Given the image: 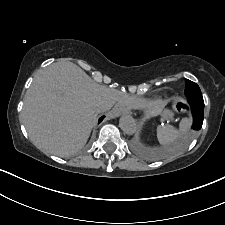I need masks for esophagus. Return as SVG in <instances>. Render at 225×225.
I'll return each mask as SVG.
<instances>
[{
	"label": "esophagus",
	"instance_id": "esophagus-1",
	"mask_svg": "<svg viewBox=\"0 0 225 225\" xmlns=\"http://www.w3.org/2000/svg\"><path fill=\"white\" fill-rule=\"evenodd\" d=\"M127 112H128V109L121 105H118L113 109V113L115 114V116H119Z\"/></svg>",
	"mask_w": 225,
	"mask_h": 225
}]
</instances>
